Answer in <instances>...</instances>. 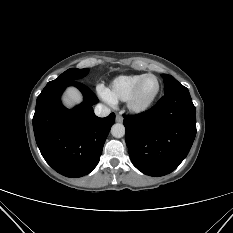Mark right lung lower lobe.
Segmentation results:
<instances>
[{"mask_svg": "<svg viewBox=\"0 0 233 233\" xmlns=\"http://www.w3.org/2000/svg\"><path fill=\"white\" fill-rule=\"evenodd\" d=\"M67 86L77 87L84 96V102L71 110L60 100ZM97 102L95 94L76 80L48 83L37 98L33 117L37 145L46 162L64 176H84L100 160L115 114L97 117L92 108Z\"/></svg>", "mask_w": 233, "mask_h": 233, "instance_id": "1", "label": "right lung lower lobe"}]
</instances>
